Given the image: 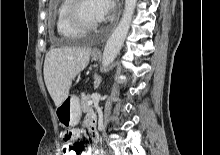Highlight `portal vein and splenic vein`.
Here are the masks:
<instances>
[{
  "mask_svg": "<svg viewBox=\"0 0 220 155\" xmlns=\"http://www.w3.org/2000/svg\"><path fill=\"white\" fill-rule=\"evenodd\" d=\"M93 104V101L92 100H89L88 101V105L90 106V105H92Z\"/></svg>",
  "mask_w": 220,
  "mask_h": 155,
  "instance_id": "obj_1",
  "label": "portal vein and splenic vein"
}]
</instances>
